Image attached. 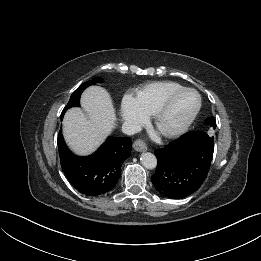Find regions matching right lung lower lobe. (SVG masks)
<instances>
[{"label":"right lung lower lobe","instance_id":"98d812e1","mask_svg":"<svg viewBox=\"0 0 261 261\" xmlns=\"http://www.w3.org/2000/svg\"><path fill=\"white\" fill-rule=\"evenodd\" d=\"M57 143L66 177L75 189L87 196L102 195L115 187L122 163L130 156L132 147L129 137H108L94 154L78 157L68 150L61 131Z\"/></svg>","mask_w":261,"mask_h":261}]
</instances>
